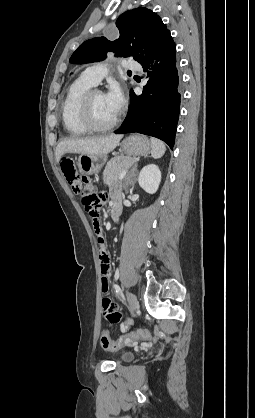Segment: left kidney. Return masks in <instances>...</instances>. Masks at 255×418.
Instances as JSON below:
<instances>
[{"label": "left kidney", "mask_w": 255, "mask_h": 418, "mask_svg": "<svg viewBox=\"0 0 255 418\" xmlns=\"http://www.w3.org/2000/svg\"><path fill=\"white\" fill-rule=\"evenodd\" d=\"M161 182V172L155 164H149L142 168L139 173L138 183L149 194H154Z\"/></svg>", "instance_id": "obj_1"}]
</instances>
